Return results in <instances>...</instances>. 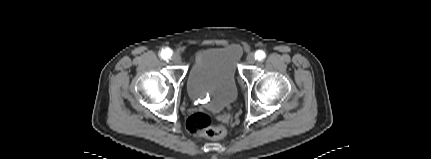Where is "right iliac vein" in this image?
<instances>
[{"label":"right iliac vein","mask_w":431,"mask_h":159,"mask_svg":"<svg viewBox=\"0 0 431 159\" xmlns=\"http://www.w3.org/2000/svg\"><path fill=\"white\" fill-rule=\"evenodd\" d=\"M171 60L174 62V63H176V64H179V63H181V56L179 55V54H177V53H174L173 55H172V57H171Z\"/></svg>","instance_id":"obj_1"}]
</instances>
